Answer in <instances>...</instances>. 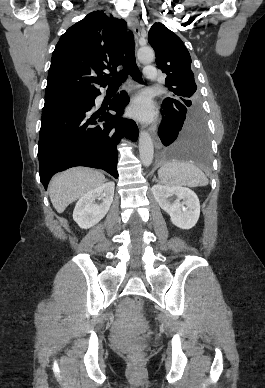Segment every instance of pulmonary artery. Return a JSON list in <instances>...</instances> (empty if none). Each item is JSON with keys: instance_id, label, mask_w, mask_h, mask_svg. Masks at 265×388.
<instances>
[{"instance_id": "1", "label": "pulmonary artery", "mask_w": 265, "mask_h": 388, "mask_svg": "<svg viewBox=\"0 0 265 388\" xmlns=\"http://www.w3.org/2000/svg\"><path fill=\"white\" fill-rule=\"evenodd\" d=\"M147 72H143V79H153V76L157 75L156 65L155 64H148L147 65Z\"/></svg>"}]
</instances>
